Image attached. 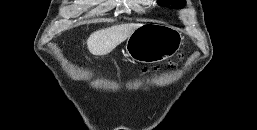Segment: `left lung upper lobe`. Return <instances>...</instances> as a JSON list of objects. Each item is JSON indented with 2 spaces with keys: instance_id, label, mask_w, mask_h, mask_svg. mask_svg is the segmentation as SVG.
<instances>
[{
  "instance_id": "obj_1",
  "label": "left lung upper lobe",
  "mask_w": 257,
  "mask_h": 130,
  "mask_svg": "<svg viewBox=\"0 0 257 130\" xmlns=\"http://www.w3.org/2000/svg\"><path fill=\"white\" fill-rule=\"evenodd\" d=\"M158 2L159 4H162V5L171 4L178 8H182L186 4L185 0H158Z\"/></svg>"
}]
</instances>
